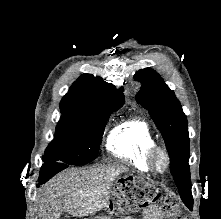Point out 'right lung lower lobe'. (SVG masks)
<instances>
[{
	"instance_id": "right-lung-lower-lobe-1",
	"label": "right lung lower lobe",
	"mask_w": 221,
	"mask_h": 219,
	"mask_svg": "<svg viewBox=\"0 0 221 219\" xmlns=\"http://www.w3.org/2000/svg\"><path fill=\"white\" fill-rule=\"evenodd\" d=\"M68 165L63 163H45L40 170L39 185L47 182L51 177L61 170L67 168Z\"/></svg>"
}]
</instances>
